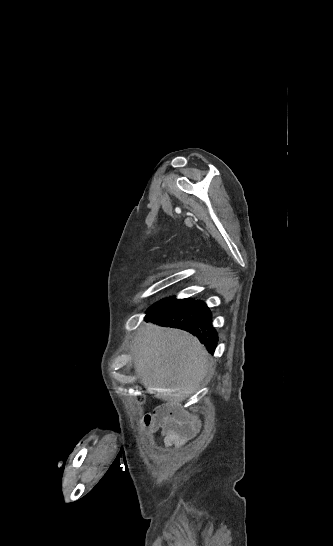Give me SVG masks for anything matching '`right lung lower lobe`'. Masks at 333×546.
I'll return each mask as SVG.
<instances>
[{
  "label": "right lung lower lobe",
  "instance_id": "1",
  "mask_svg": "<svg viewBox=\"0 0 333 546\" xmlns=\"http://www.w3.org/2000/svg\"><path fill=\"white\" fill-rule=\"evenodd\" d=\"M147 320L166 327L183 329L195 335L209 353L214 352L218 336L212 327V315L203 301L180 299L148 311Z\"/></svg>",
  "mask_w": 333,
  "mask_h": 546
}]
</instances>
